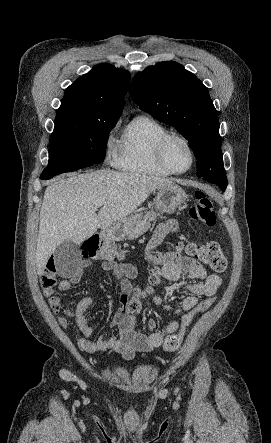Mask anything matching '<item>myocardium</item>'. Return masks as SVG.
<instances>
[{
	"instance_id": "1",
	"label": "myocardium",
	"mask_w": 271,
	"mask_h": 443,
	"mask_svg": "<svg viewBox=\"0 0 271 443\" xmlns=\"http://www.w3.org/2000/svg\"><path fill=\"white\" fill-rule=\"evenodd\" d=\"M173 138H178V139L182 140L190 150L191 164L185 170H181V171L175 170L174 168L171 167V165L169 164V162L166 158V154H165L166 146H167L168 142ZM156 156H157L159 163L166 170H168L171 174H185V173L189 172L194 167L195 161H196V152H195V149H194L192 143L190 142V140L187 137H185L184 135L177 133V132H172V131L165 133L158 140V142L156 144Z\"/></svg>"
}]
</instances>
